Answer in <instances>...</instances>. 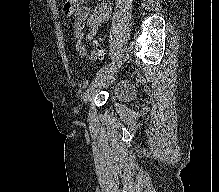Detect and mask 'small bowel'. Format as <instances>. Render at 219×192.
<instances>
[{
  "label": "small bowel",
  "mask_w": 219,
  "mask_h": 192,
  "mask_svg": "<svg viewBox=\"0 0 219 192\" xmlns=\"http://www.w3.org/2000/svg\"><path fill=\"white\" fill-rule=\"evenodd\" d=\"M86 1L66 0L63 9L67 15L74 17L73 37L76 39L78 53L94 60L97 55L93 51L87 54V49L83 42L93 39L99 26L109 19L112 7L108 1H103L91 9L86 5Z\"/></svg>",
  "instance_id": "obj_1"
}]
</instances>
